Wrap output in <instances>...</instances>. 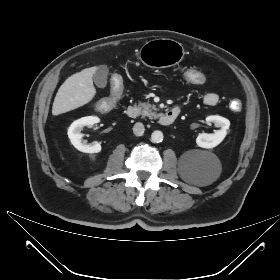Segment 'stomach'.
Returning a JSON list of instances; mask_svg holds the SVG:
<instances>
[{
	"label": "stomach",
	"mask_w": 280,
	"mask_h": 280,
	"mask_svg": "<svg viewBox=\"0 0 280 280\" xmlns=\"http://www.w3.org/2000/svg\"><path fill=\"white\" fill-rule=\"evenodd\" d=\"M185 55L181 43L167 38L146 42L139 51L140 61L150 68H166L180 63Z\"/></svg>",
	"instance_id": "0dacf381"
}]
</instances>
